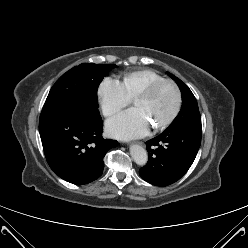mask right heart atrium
<instances>
[{
	"label": "right heart atrium",
	"mask_w": 248,
	"mask_h": 248,
	"mask_svg": "<svg viewBox=\"0 0 248 248\" xmlns=\"http://www.w3.org/2000/svg\"><path fill=\"white\" fill-rule=\"evenodd\" d=\"M97 97L102 114L107 118L115 116L132 100L122 82L110 77L104 78L100 83Z\"/></svg>",
	"instance_id": "1"
}]
</instances>
